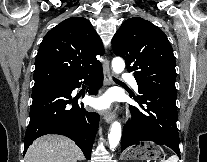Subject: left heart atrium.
I'll list each match as a JSON object with an SVG mask.
<instances>
[{
	"label": "left heart atrium",
	"mask_w": 207,
	"mask_h": 162,
	"mask_svg": "<svg viewBox=\"0 0 207 162\" xmlns=\"http://www.w3.org/2000/svg\"><path fill=\"white\" fill-rule=\"evenodd\" d=\"M113 103V98L109 93L93 100L92 105L101 111L110 110Z\"/></svg>",
	"instance_id": "39dd6f15"
}]
</instances>
